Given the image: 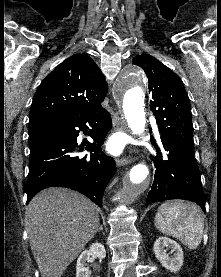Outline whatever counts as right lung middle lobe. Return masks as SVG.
Segmentation results:
<instances>
[{
  "label": "right lung middle lobe",
  "mask_w": 221,
  "mask_h": 277,
  "mask_svg": "<svg viewBox=\"0 0 221 277\" xmlns=\"http://www.w3.org/2000/svg\"><path fill=\"white\" fill-rule=\"evenodd\" d=\"M29 146H33L43 140L50 133L49 126L45 124H34L28 126Z\"/></svg>",
  "instance_id": "dd1d6c3e"
}]
</instances>
